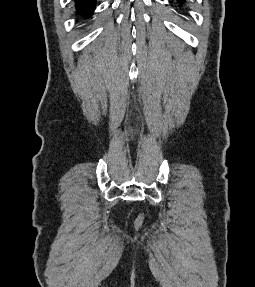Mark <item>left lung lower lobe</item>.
<instances>
[{
    "instance_id": "left-lung-lower-lobe-1",
    "label": "left lung lower lobe",
    "mask_w": 255,
    "mask_h": 287,
    "mask_svg": "<svg viewBox=\"0 0 255 287\" xmlns=\"http://www.w3.org/2000/svg\"><path fill=\"white\" fill-rule=\"evenodd\" d=\"M171 1H174V0H171ZM177 1V3H178V7L179 8H184V4H185V1L186 0H176Z\"/></svg>"
}]
</instances>
